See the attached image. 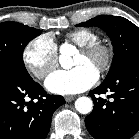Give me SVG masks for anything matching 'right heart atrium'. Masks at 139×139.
Listing matches in <instances>:
<instances>
[{
  "label": "right heart atrium",
  "mask_w": 139,
  "mask_h": 139,
  "mask_svg": "<svg viewBox=\"0 0 139 139\" xmlns=\"http://www.w3.org/2000/svg\"><path fill=\"white\" fill-rule=\"evenodd\" d=\"M23 62L38 79L46 77L58 65L57 44L49 35H40L23 50Z\"/></svg>",
  "instance_id": "1"
}]
</instances>
